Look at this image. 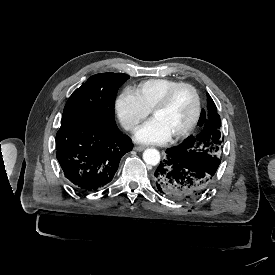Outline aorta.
I'll return each instance as SVG.
<instances>
[{"label": "aorta", "mask_w": 275, "mask_h": 275, "mask_svg": "<svg viewBox=\"0 0 275 275\" xmlns=\"http://www.w3.org/2000/svg\"><path fill=\"white\" fill-rule=\"evenodd\" d=\"M143 160L146 164L155 166L160 162V153L156 149L148 148L143 152Z\"/></svg>", "instance_id": "762f6f07"}]
</instances>
